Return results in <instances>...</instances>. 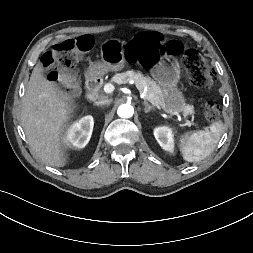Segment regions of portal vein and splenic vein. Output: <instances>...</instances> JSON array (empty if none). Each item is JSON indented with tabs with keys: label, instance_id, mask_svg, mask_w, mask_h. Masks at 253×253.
<instances>
[{
	"label": "portal vein and splenic vein",
	"instance_id": "portal-vein-and-splenic-vein-1",
	"mask_svg": "<svg viewBox=\"0 0 253 253\" xmlns=\"http://www.w3.org/2000/svg\"><path fill=\"white\" fill-rule=\"evenodd\" d=\"M103 90H104V92L107 93V94L112 93V92L114 91V86H113L112 84H110V83H107V84L104 85ZM141 97L144 98V99H147V100H149L151 103H153V102L150 100V98L147 96L146 91L141 92ZM183 119L186 121V124H187V125H190V124H191L190 121L187 120L186 116H184Z\"/></svg>",
	"mask_w": 253,
	"mask_h": 253
}]
</instances>
